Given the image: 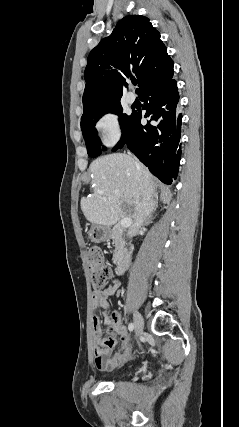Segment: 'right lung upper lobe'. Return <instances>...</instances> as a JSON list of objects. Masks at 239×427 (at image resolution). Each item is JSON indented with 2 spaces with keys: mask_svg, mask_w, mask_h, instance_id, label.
Returning <instances> with one entry per match:
<instances>
[{
  "mask_svg": "<svg viewBox=\"0 0 239 427\" xmlns=\"http://www.w3.org/2000/svg\"><path fill=\"white\" fill-rule=\"evenodd\" d=\"M173 65L160 33L147 17H124L88 56L82 116L99 106L120 102L126 78L137 77L139 94L173 72Z\"/></svg>",
  "mask_w": 239,
  "mask_h": 427,
  "instance_id": "obj_1",
  "label": "right lung upper lobe"
}]
</instances>
